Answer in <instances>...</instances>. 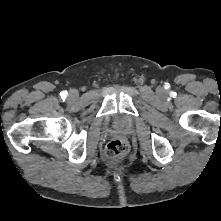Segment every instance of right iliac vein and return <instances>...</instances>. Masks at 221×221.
<instances>
[{
  "label": "right iliac vein",
  "instance_id": "63e3f726",
  "mask_svg": "<svg viewBox=\"0 0 221 221\" xmlns=\"http://www.w3.org/2000/svg\"><path fill=\"white\" fill-rule=\"evenodd\" d=\"M70 98L71 99H75L77 97V92L75 91H72L70 94H69Z\"/></svg>",
  "mask_w": 221,
  "mask_h": 221
}]
</instances>
